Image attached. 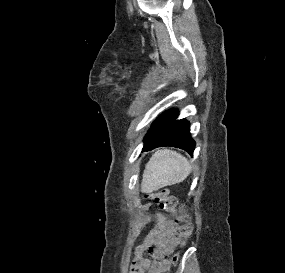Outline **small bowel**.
Returning a JSON list of instances; mask_svg holds the SVG:
<instances>
[{
	"label": "small bowel",
	"instance_id": "obj_1",
	"mask_svg": "<svg viewBox=\"0 0 285 273\" xmlns=\"http://www.w3.org/2000/svg\"><path fill=\"white\" fill-rule=\"evenodd\" d=\"M178 243L177 223L159 214L153 228L135 249L130 273H164L170 264L168 256Z\"/></svg>",
	"mask_w": 285,
	"mask_h": 273
}]
</instances>
